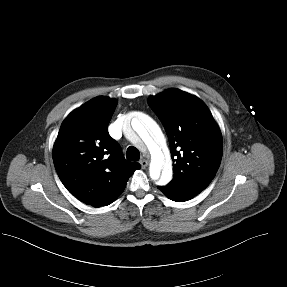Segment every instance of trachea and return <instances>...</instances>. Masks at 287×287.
Instances as JSON below:
<instances>
[{
  "label": "trachea",
  "instance_id": "obj_1",
  "mask_svg": "<svg viewBox=\"0 0 287 287\" xmlns=\"http://www.w3.org/2000/svg\"><path fill=\"white\" fill-rule=\"evenodd\" d=\"M126 157L130 161H138L140 159V152L134 146H130L127 149Z\"/></svg>",
  "mask_w": 287,
  "mask_h": 287
}]
</instances>
